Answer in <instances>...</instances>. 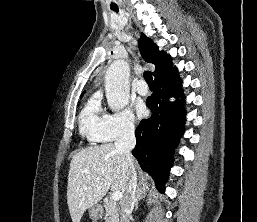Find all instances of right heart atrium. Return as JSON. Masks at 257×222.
I'll use <instances>...</instances> for the list:
<instances>
[{"label":"right heart atrium","mask_w":257,"mask_h":222,"mask_svg":"<svg viewBox=\"0 0 257 222\" xmlns=\"http://www.w3.org/2000/svg\"><path fill=\"white\" fill-rule=\"evenodd\" d=\"M119 118L121 123L117 126L112 125V120ZM135 132V118L133 113L128 110L117 112L114 116H107L105 118L101 137L104 141H114L120 138H126L133 135Z\"/></svg>","instance_id":"right-heart-atrium-1"}]
</instances>
